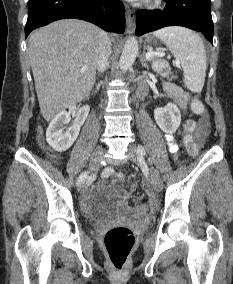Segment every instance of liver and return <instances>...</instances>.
Listing matches in <instances>:
<instances>
[{"label": "liver", "mask_w": 233, "mask_h": 284, "mask_svg": "<svg viewBox=\"0 0 233 284\" xmlns=\"http://www.w3.org/2000/svg\"><path fill=\"white\" fill-rule=\"evenodd\" d=\"M100 32L86 21L65 19L31 34L29 58L46 121L90 94L96 77Z\"/></svg>", "instance_id": "liver-1"}]
</instances>
